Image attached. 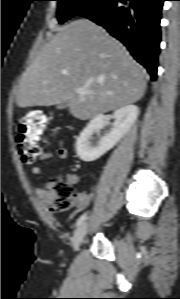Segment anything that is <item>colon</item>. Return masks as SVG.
I'll list each match as a JSON object with an SVG mask.
<instances>
[{
    "label": "colon",
    "instance_id": "obj_1",
    "mask_svg": "<svg viewBox=\"0 0 180 299\" xmlns=\"http://www.w3.org/2000/svg\"><path fill=\"white\" fill-rule=\"evenodd\" d=\"M48 123L47 114L40 109H29L19 120L17 129V148L21 159L26 163H34L41 149L38 139L45 131ZM74 194L67 182L53 183L49 189L46 204L52 211H64L74 204Z\"/></svg>",
    "mask_w": 180,
    "mask_h": 299
}]
</instances>
